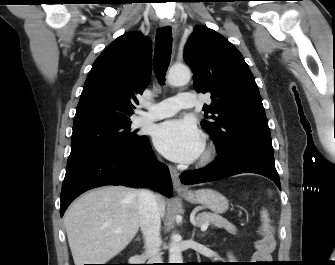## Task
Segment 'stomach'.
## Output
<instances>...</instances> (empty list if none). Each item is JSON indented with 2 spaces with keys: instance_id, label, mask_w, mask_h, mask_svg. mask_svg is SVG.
Returning <instances> with one entry per match:
<instances>
[{
  "instance_id": "stomach-1",
  "label": "stomach",
  "mask_w": 335,
  "mask_h": 265,
  "mask_svg": "<svg viewBox=\"0 0 335 265\" xmlns=\"http://www.w3.org/2000/svg\"><path fill=\"white\" fill-rule=\"evenodd\" d=\"M183 198L192 204H202L215 214H222L229 207L225 196L213 189H199L182 194Z\"/></svg>"
}]
</instances>
